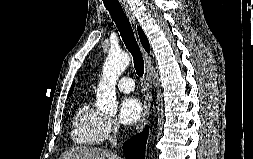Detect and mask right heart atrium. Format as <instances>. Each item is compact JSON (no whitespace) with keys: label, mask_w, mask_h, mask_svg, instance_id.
Wrapping results in <instances>:
<instances>
[{"label":"right heart atrium","mask_w":253,"mask_h":159,"mask_svg":"<svg viewBox=\"0 0 253 159\" xmlns=\"http://www.w3.org/2000/svg\"><path fill=\"white\" fill-rule=\"evenodd\" d=\"M104 128H105V139L111 140L114 138L116 132H117V124L115 121L111 118H105L104 122Z\"/></svg>","instance_id":"1"}]
</instances>
